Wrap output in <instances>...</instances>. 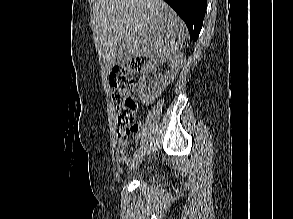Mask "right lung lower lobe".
<instances>
[{
	"label": "right lung lower lobe",
	"instance_id": "98d812e1",
	"mask_svg": "<svg viewBox=\"0 0 293 219\" xmlns=\"http://www.w3.org/2000/svg\"><path fill=\"white\" fill-rule=\"evenodd\" d=\"M184 20L191 39L197 40L205 16L207 0H165Z\"/></svg>",
	"mask_w": 293,
	"mask_h": 219
}]
</instances>
